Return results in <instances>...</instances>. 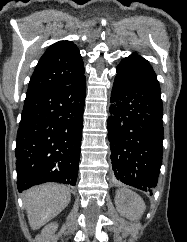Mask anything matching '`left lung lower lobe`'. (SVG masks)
<instances>
[{
	"instance_id": "left-lung-lower-lobe-1",
	"label": "left lung lower lobe",
	"mask_w": 187,
	"mask_h": 242,
	"mask_svg": "<svg viewBox=\"0 0 187 242\" xmlns=\"http://www.w3.org/2000/svg\"><path fill=\"white\" fill-rule=\"evenodd\" d=\"M109 110L108 140L116 179L152 194L163 155L160 93L117 74Z\"/></svg>"
}]
</instances>
